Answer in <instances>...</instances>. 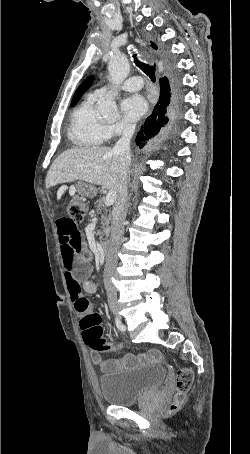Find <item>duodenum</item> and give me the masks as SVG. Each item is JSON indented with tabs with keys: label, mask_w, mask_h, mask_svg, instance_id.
Instances as JSON below:
<instances>
[{
	"label": "duodenum",
	"mask_w": 250,
	"mask_h": 454,
	"mask_svg": "<svg viewBox=\"0 0 250 454\" xmlns=\"http://www.w3.org/2000/svg\"><path fill=\"white\" fill-rule=\"evenodd\" d=\"M102 247H103L104 258H105V260H107L111 254V243L108 240H106L103 242Z\"/></svg>",
	"instance_id": "obj_1"
}]
</instances>
